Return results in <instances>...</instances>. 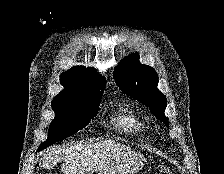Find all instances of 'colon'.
Listing matches in <instances>:
<instances>
[{
  "instance_id": "5ec220e1",
  "label": "colon",
  "mask_w": 224,
  "mask_h": 174,
  "mask_svg": "<svg viewBox=\"0 0 224 174\" xmlns=\"http://www.w3.org/2000/svg\"><path fill=\"white\" fill-rule=\"evenodd\" d=\"M155 174H174V172L169 167L159 166L156 169Z\"/></svg>"
}]
</instances>
